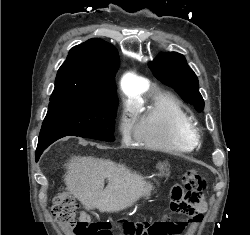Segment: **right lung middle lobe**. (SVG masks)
<instances>
[{
  "label": "right lung middle lobe",
  "mask_w": 250,
  "mask_h": 235,
  "mask_svg": "<svg viewBox=\"0 0 250 235\" xmlns=\"http://www.w3.org/2000/svg\"><path fill=\"white\" fill-rule=\"evenodd\" d=\"M117 103L116 93L50 98L39 139L73 135L112 142Z\"/></svg>",
  "instance_id": "right-lung-middle-lobe-1"
}]
</instances>
